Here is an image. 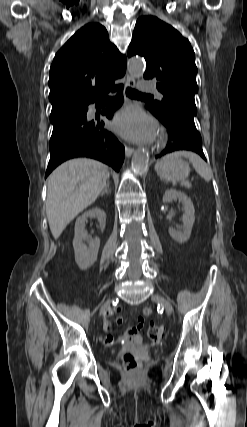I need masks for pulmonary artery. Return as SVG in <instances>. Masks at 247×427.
<instances>
[{"instance_id":"pulmonary-artery-1","label":"pulmonary artery","mask_w":247,"mask_h":427,"mask_svg":"<svg viewBox=\"0 0 247 427\" xmlns=\"http://www.w3.org/2000/svg\"><path fill=\"white\" fill-rule=\"evenodd\" d=\"M141 89H142L143 91L156 92V93H157V95H158L159 97H162V94H161V93H159V92L156 90L155 86H154V85H152V84H150V83H148V82H144V83H142V85H141Z\"/></svg>"}]
</instances>
